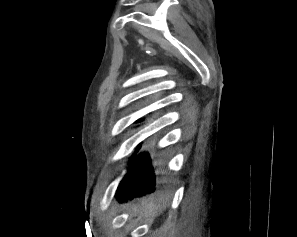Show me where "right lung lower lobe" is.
<instances>
[{
  "label": "right lung lower lobe",
  "mask_w": 297,
  "mask_h": 237,
  "mask_svg": "<svg viewBox=\"0 0 297 237\" xmlns=\"http://www.w3.org/2000/svg\"><path fill=\"white\" fill-rule=\"evenodd\" d=\"M139 149L140 146L132 157L130 171L117 189L116 199L118 201H127L155 191L156 175L151 159L145 153L135 157Z\"/></svg>",
  "instance_id": "98d812e1"
}]
</instances>
